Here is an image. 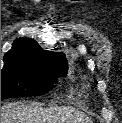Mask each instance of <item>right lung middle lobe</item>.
<instances>
[{"mask_svg": "<svg viewBox=\"0 0 122 123\" xmlns=\"http://www.w3.org/2000/svg\"><path fill=\"white\" fill-rule=\"evenodd\" d=\"M66 72L67 66H36L4 60L1 100L44 95L55 87L57 78L65 76Z\"/></svg>", "mask_w": 122, "mask_h": 123, "instance_id": "dd1d6c3e", "label": "right lung middle lobe"}]
</instances>
